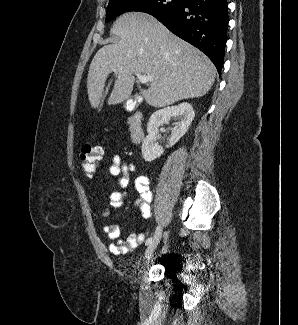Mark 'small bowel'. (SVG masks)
<instances>
[{
  "instance_id": "c3829d8e",
  "label": "small bowel",
  "mask_w": 298,
  "mask_h": 325,
  "mask_svg": "<svg viewBox=\"0 0 298 325\" xmlns=\"http://www.w3.org/2000/svg\"><path fill=\"white\" fill-rule=\"evenodd\" d=\"M137 172V165L134 162L127 161L120 153H114L111 158V164L108 167V173L112 177L121 176L119 180V190L111 193L110 206L102 209V216L109 217L111 208H120L124 198L128 195L131 176ZM139 198L135 201V206L139 208L142 217L149 219L151 217V204L153 194L150 180L145 175L136 176L134 179ZM103 232L111 240L108 248L114 255H121L140 246L144 241L143 233H130L126 239L120 238V229L116 225H105Z\"/></svg>"
}]
</instances>
